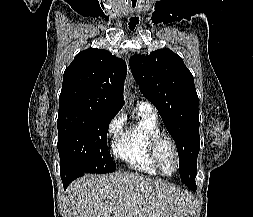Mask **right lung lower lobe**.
Segmentation results:
<instances>
[{"instance_id":"obj_1","label":"right lung lower lobe","mask_w":253,"mask_h":217,"mask_svg":"<svg viewBox=\"0 0 253 217\" xmlns=\"http://www.w3.org/2000/svg\"><path fill=\"white\" fill-rule=\"evenodd\" d=\"M84 172L81 173H77V174H66L65 172H61V179L64 185V188L66 189V187L76 178L83 176Z\"/></svg>"}]
</instances>
